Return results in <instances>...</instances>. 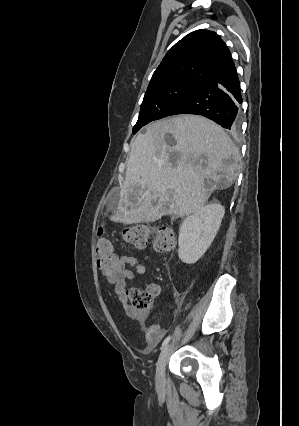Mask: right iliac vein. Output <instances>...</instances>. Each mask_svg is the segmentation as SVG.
<instances>
[{"mask_svg":"<svg viewBox=\"0 0 299 426\" xmlns=\"http://www.w3.org/2000/svg\"><path fill=\"white\" fill-rule=\"evenodd\" d=\"M171 346L166 345L162 348L156 364V385L161 387L165 380V366Z\"/></svg>","mask_w":299,"mask_h":426,"instance_id":"obj_1","label":"right iliac vein"}]
</instances>
